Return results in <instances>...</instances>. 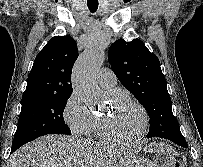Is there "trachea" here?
<instances>
[{"instance_id":"1","label":"trachea","mask_w":203,"mask_h":167,"mask_svg":"<svg viewBox=\"0 0 203 167\" xmlns=\"http://www.w3.org/2000/svg\"><path fill=\"white\" fill-rule=\"evenodd\" d=\"M87 5L91 12H96L98 9V3H87Z\"/></svg>"}]
</instances>
